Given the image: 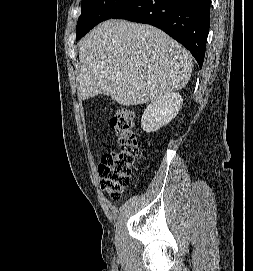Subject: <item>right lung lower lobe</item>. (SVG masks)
<instances>
[{
	"label": "right lung lower lobe",
	"instance_id": "98d812e1",
	"mask_svg": "<svg viewBox=\"0 0 253 271\" xmlns=\"http://www.w3.org/2000/svg\"><path fill=\"white\" fill-rule=\"evenodd\" d=\"M211 0H130L112 18L151 24L185 46L202 67Z\"/></svg>",
	"mask_w": 253,
	"mask_h": 271
}]
</instances>
